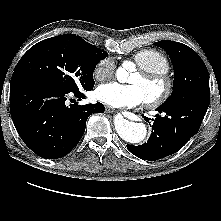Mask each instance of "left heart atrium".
<instances>
[{
    "mask_svg": "<svg viewBox=\"0 0 221 221\" xmlns=\"http://www.w3.org/2000/svg\"><path fill=\"white\" fill-rule=\"evenodd\" d=\"M95 96L99 101L118 108H131L146 102L143 90L135 84L106 83L96 89Z\"/></svg>",
    "mask_w": 221,
    "mask_h": 221,
    "instance_id": "obj_1",
    "label": "left heart atrium"
}]
</instances>
